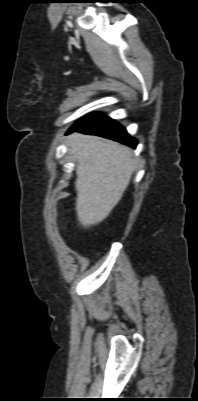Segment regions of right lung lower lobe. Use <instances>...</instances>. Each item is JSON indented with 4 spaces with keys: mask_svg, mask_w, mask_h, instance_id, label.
<instances>
[{
    "mask_svg": "<svg viewBox=\"0 0 198 401\" xmlns=\"http://www.w3.org/2000/svg\"><path fill=\"white\" fill-rule=\"evenodd\" d=\"M73 131L102 136L133 148L137 145V140L130 137L123 127L111 118L102 114H94L90 116L84 122L72 127L68 133Z\"/></svg>",
    "mask_w": 198,
    "mask_h": 401,
    "instance_id": "1",
    "label": "right lung lower lobe"
}]
</instances>
